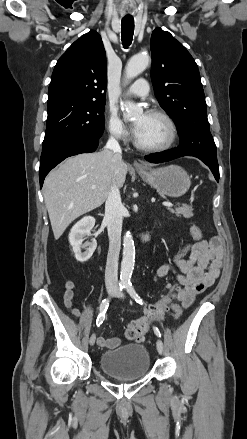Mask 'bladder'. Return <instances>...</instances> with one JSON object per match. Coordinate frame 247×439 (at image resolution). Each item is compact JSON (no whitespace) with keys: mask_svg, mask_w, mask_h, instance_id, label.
Returning a JSON list of instances; mask_svg holds the SVG:
<instances>
[{"mask_svg":"<svg viewBox=\"0 0 247 439\" xmlns=\"http://www.w3.org/2000/svg\"><path fill=\"white\" fill-rule=\"evenodd\" d=\"M100 368L108 376L122 380H136L150 369V356L141 344H126L104 352L100 357Z\"/></svg>","mask_w":247,"mask_h":439,"instance_id":"obj_1","label":"bladder"}]
</instances>
